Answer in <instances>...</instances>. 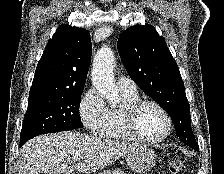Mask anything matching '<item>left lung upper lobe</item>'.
<instances>
[{"label": "left lung upper lobe", "instance_id": "obj_1", "mask_svg": "<svg viewBox=\"0 0 224 174\" xmlns=\"http://www.w3.org/2000/svg\"><path fill=\"white\" fill-rule=\"evenodd\" d=\"M117 47L129 76L168 113L180 140L198 150L184 83L163 38L151 25H136L120 35Z\"/></svg>", "mask_w": 224, "mask_h": 174}]
</instances>
